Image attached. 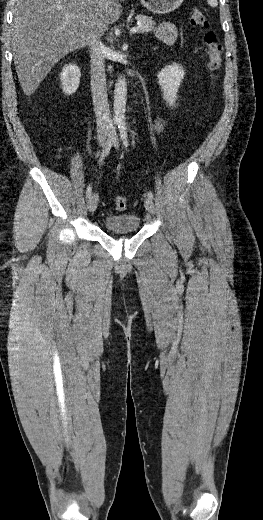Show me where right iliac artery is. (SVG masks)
<instances>
[{
	"mask_svg": "<svg viewBox=\"0 0 263 520\" xmlns=\"http://www.w3.org/2000/svg\"><path fill=\"white\" fill-rule=\"evenodd\" d=\"M115 124H117V122ZM112 129H113L112 130V135L110 136V138L107 140V142L104 145V148H103L102 153H101V157L99 159V164L103 162L105 157L110 152V149H111V146H112V140H113V132H115V126ZM91 193H92V187L89 184L88 187H87V190H86V197L89 198L91 196Z\"/></svg>",
	"mask_w": 263,
	"mask_h": 520,
	"instance_id": "obj_1",
	"label": "right iliac artery"
}]
</instances>
